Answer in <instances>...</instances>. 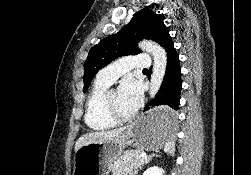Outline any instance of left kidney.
<instances>
[{"label":"left kidney","instance_id":"1","mask_svg":"<svg viewBox=\"0 0 251 175\" xmlns=\"http://www.w3.org/2000/svg\"><path fill=\"white\" fill-rule=\"evenodd\" d=\"M165 171L162 167H158V165H152V167H148L146 171H144L143 175H164Z\"/></svg>","mask_w":251,"mask_h":175}]
</instances>
